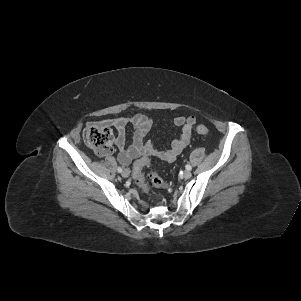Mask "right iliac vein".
Segmentation results:
<instances>
[{
    "mask_svg": "<svg viewBox=\"0 0 301 301\" xmlns=\"http://www.w3.org/2000/svg\"><path fill=\"white\" fill-rule=\"evenodd\" d=\"M129 175H130V171H129L128 169H124V170L122 171V176H123L124 178H127Z\"/></svg>",
    "mask_w": 301,
    "mask_h": 301,
    "instance_id": "right-iliac-vein-1",
    "label": "right iliac vein"
}]
</instances>
